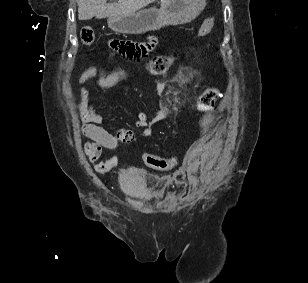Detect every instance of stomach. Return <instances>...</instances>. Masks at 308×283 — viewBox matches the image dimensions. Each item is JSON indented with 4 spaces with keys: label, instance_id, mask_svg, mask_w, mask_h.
Returning <instances> with one entry per match:
<instances>
[{
    "label": "stomach",
    "instance_id": "0dacf381",
    "mask_svg": "<svg viewBox=\"0 0 308 283\" xmlns=\"http://www.w3.org/2000/svg\"><path fill=\"white\" fill-rule=\"evenodd\" d=\"M206 0H161L159 9L151 7L130 15L108 17L111 30L123 34H141L167 25L194 20L204 9Z\"/></svg>",
    "mask_w": 308,
    "mask_h": 283
}]
</instances>
